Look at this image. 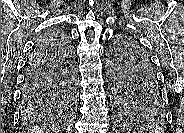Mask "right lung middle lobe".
I'll use <instances>...</instances> for the list:
<instances>
[{"mask_svg": "<svg viewBox=\"0 0 184 133\" xmlns=\"http://www.w3.org/2000/svg\"><path fill=\"white\" fill-rule=\"evenodd\" d=\"M47 34H50L59 42H62L65 47L62 51V60L64 62L62 80L56 85V91L51 96V99L36 102L21 101L22 113L27 118L39 116L53 110H67L72 108L75 103L76 71L73 53L68 43L67 35L60 30L48 31L44 35Z\"/></svg>", "mask_w": 184, "mask_h": 133, "instance_id": "obj_1", "label": "right lung middle lobe"}]
</instances>
